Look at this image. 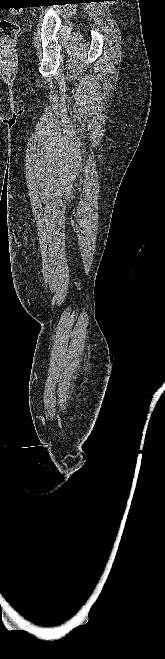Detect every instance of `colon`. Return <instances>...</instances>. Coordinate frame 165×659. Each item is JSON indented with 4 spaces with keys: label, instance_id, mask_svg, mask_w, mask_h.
<instances>
[{
    "label": "colon",
    "instance_id": "5ec220e1",
    "mask_svg": "<svg viewBox=\"0 0 165 659\" xmlns=\"http://www.w3.org/2000/svg\"><path fill=\"white\" fill-rule=\"evenodd\" d=\"M19 33V26L17 23L2 19L0 20V45L3 47H10L15 41Z\"/></svg>",
    "mask_w": 165,
    "mask_h": 659
}]
</instances>
